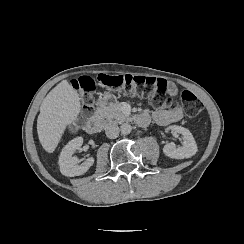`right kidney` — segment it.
Wrapping results in <instances>:
<instances>
[{"mask_svg":"<svg viewBox=\"0 0 244 244\" xmlns=\"http://www.w3.org/2000/svg\"><path fill=\"white\" fill-rule=\"evenodd\" d=\"M83 144L82 137H76L69 141L68 144L62 149L59 157L60 172L64 176H79L87 172V170L93 165L94 158L90 157L85 162L78 165V158L73 157L76 150L80 149Z\"/></svg>","mask_w":244,"mask_h":244,"instance_id":"right-kidney-1","label":"right kidney"}]
</instances>
